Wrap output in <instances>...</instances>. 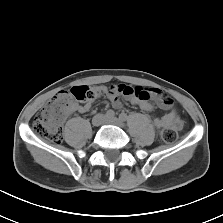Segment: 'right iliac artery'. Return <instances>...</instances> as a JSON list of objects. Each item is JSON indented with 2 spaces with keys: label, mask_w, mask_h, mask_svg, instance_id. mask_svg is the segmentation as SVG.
I'll use <instances>...</instances> for the list:
<instances>
[{
  "label": "right iliac artery",
  "mask_w": 223,
  "mask_h": 223,
  "mask_svg": "<svg viewBox=\"0 0 223 223\" xmlns=\"http://www.w3.org/2000/svg\"><path fill=\"white\" fill-rule=\"evenodd\" d=\"M114 116H115V113H114L113 110H108V111L106 112V117H108V118H113Z\"/></svg>",
  "instance_id": "obj_1"
}]
</instances>
